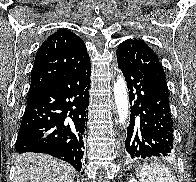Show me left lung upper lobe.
<instances>
[{
	"label": "left lung upper lobe",
	"mask_w": 196,
	"mask_h": 182,
	"mask_svg": "<svg viewBox=\"0 0 196 182\" xmlns=\"http://www.w3.org/2000/svg\"><path fill=\"white\" fill-rule=\"evenodd\" d=\"M116 53L117 58L126 59L131 66L154 79L169 93L162 64L156 53L143 40L128 39L119 44Z\"/></svg>",
	"instance_id": "obj_1"
}]
</instances>
